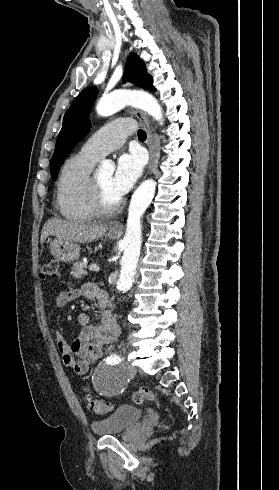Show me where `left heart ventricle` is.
I'll return each instance as SVG.
<instances>
[{
    "label": "left heart ventricle",
    "instance_id": "left-heart-ventricle-1",
    "mask_svg": "<svg viewBox=\"0 0 279 490\" xmlns=\"http://www.w3.org/2000/svg\"><path fill=\"white\" fill-rule=\"evenodd\" d=\"M95 179L103 187L104 194L108 200H110V201L117 200V198L112 193V188H111L112 175H111V173L101 174L98 177H96Z\"/></svg>",
    "mask_w": 279,
    "mask_h": 490
}]
</instances>
